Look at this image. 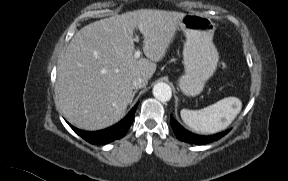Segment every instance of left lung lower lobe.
Here are the masks:
<instances>
[{
  "mask_svg": "<svg viewBox=\"0 0 288 181\" xmlns=\"http://www.w3.org/2000/svg\"><path fill=\"white\" fill-rule=\"evenodd\" d=\"M170 124L176 137L179 140L196 145H204L219 140L228 133V130H226L210 136H200L183 128L172 116Z\"/></svg>",
  "mask_w": 288,
  "mask_h": 181,
  "instance_id": "0a47b994",
  "label": "left lung lower lobe"
}]
</instances>
